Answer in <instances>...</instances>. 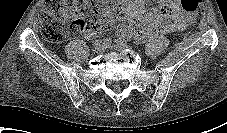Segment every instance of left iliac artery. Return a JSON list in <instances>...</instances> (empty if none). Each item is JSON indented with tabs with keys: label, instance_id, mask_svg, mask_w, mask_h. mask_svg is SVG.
<instances>
[{
	"label": "left iliac artery",
	"instance_id": "1",
	"mask_svg": "<svg viewBox=\"0 0 227 133\" xmlns=\"http://www.w3.org/2000/svg\"><path fill=\"white\" fill-rule=\"evenodd\" d=\"M117 43H127V39L125 37H120L117 39Z\"/></svg>",
	"mask_w": 227,
	"mask_h": 133
}]
</instances>
